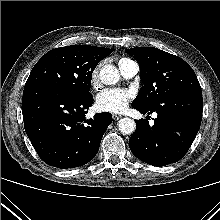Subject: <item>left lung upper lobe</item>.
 <instances>
[{
  "label": "left lung upper lobe",
  "mask_w": 220,
  "mask_h": 220,
  "mask_svg": "<svg viewBox=\"0 0 220 220\" xmlns=\"http://www.w3.org/2000/svg\"><path fill=\"white\" fill-rule=\"evenodd\" d=\"M126 50L138 62L144 83L132 105L153 109L183 92L201 90L194 71L180 57L153 47Z\"/></svg>",
  "instance_id": "1"
}]
</instances>
